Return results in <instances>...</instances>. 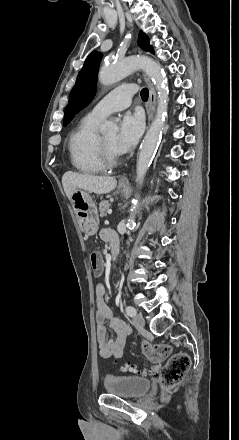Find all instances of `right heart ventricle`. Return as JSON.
<instances>
[{
  "label": "right heart ventricle",
  "mask_w": 239,
  "mask_h": 440,
  "mask_svg": "<svg viewBox=\"0 0 239 440\" xmlns=\"http://www.w3.org/2000/svg\"><path fill=\"white\" fill-rule=\"evenodd\" d=\"M99 120L89 115L70 133L68 154L72 167L81 173L98 174L105 167L97 150V133L95 126Z\"/></svg>",
  "instance_id": "obj_1"
}]
</instances>
